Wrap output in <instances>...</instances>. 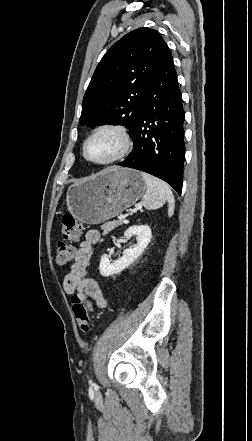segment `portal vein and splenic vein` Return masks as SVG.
Listing matches in <instances>:
<instances>
[{"instance_id":"obj_1","label":"portal vein and splenic vein","mask_w":252,"mask_h":441,"mask_svg":"<svg viewBox=\"0 0 252 441\" xmlns=\"http://www.w3.org/2000/svg\"><path fill=\"white\" fill-rule=\"evenodd\" d=\"M126 218V216L125 215H120L119 217H118V219L121 221V220H124Z\"/></svg>"}]
</instances>
